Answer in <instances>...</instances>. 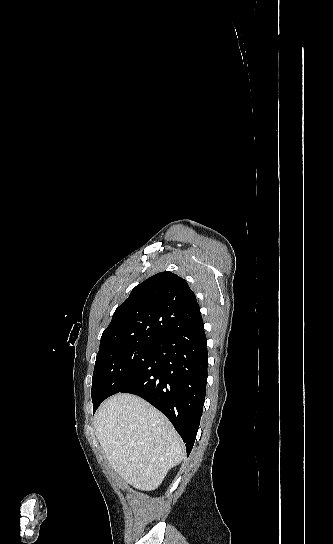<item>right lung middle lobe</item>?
<instances>
[{"label":"right lung middle lobe","instance_id":"obj_1","mask_svg":"<svg viewBox=\"0 0 333 544\" xmlns=\"http://www.w3.org/2000/svg\"><path fill=\"white\" fill-rule=\"evenodd\" d=\"M156 342L122 345L97 354L92 383L93 411L128 385L149 360Z\"/></svg>","mask_w":333,"mask_h":544}]
</instances>
